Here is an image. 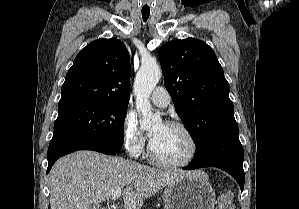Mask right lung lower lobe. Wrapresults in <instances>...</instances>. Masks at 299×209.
Returning a JSON list of instances; mask_svg holds the SVG:
<instances>
[{"label": "right lung lower lobe", "instance_id": "right-lung-lower-lobe-1", "mask_svg": "<svg viewBox=\"0 0 299 209\" xmlns=\"http://www.w3.org/2000/svg\"><path fill=\"white\" fill-rule=\"evenodd\" d=\"M122 145L102 137H90L68 130L54 131L48 148L47 173L60 157L77 150H93L113 155L120 151Z\"/></svg>", "mask_w": 299, "mask_h": 209}]
</instances>
